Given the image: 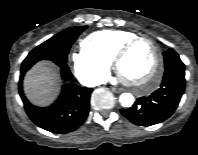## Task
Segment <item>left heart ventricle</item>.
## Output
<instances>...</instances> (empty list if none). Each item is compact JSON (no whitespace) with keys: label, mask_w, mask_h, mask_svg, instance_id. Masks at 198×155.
Wrapping results in <instances>:
<instances>
[{"label":"left heart ventricle","mask_w":198,"mask_h":155,"mask_svg":"<svg viewBox=\"0 0 198 155\" xmlns=\"http://www.w3.org/2000/svg\"><path fill=\"white\" fill-rule=\"evenodd\" d=\"M154 61L155 52L152 45L141 41L120 61L119 74L128 81L141 83L151 72Z\"/></svg>","instance_id":"left-heart-ventricle-1"}]
</instances>
